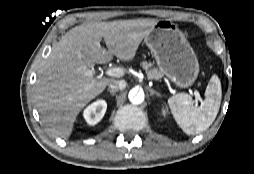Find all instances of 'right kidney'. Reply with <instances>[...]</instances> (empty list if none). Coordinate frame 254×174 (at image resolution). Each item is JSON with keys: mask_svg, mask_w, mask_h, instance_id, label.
Returning <instances> with one entry per match:
<instances>
[{"mask_svg": "<svg viewBox=\"0 0 254 174\" xmlns=\"http://www.w3.org/2000/svg\"><path fill=\"white\" fill-rule=\"evenodd\" d=\"M107 109L105 100H97L90 104L83 113L84 119L89 125L97 124L104 116Z\"/></svg>", "mask_w": 254, "mask_h": 174, "instance_id": "ca27d5eb", "label": "right kidney"}]
</instances>
